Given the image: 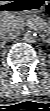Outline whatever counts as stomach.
Masks as SVG:
<instances>
[{
    "label": "stomach",
    "mask_w": 50,
    "mask_h": 111,
    "mask_svg": "<svg viewBox=\"0 0 50 111\" xmlns=\"http://www.w3.org/2000/svg\"><path fill=\"white\" fill-rule=\"evenodd\" d=\"M22 4L17 11L10 9L6 13L20 14V13H37L44 10L47 5V0H21ZM6 2L5 4H9ZM3 4V5H5Z\"/></svg>",
    "instance_id": "stomach-1"
}]
</instances>
